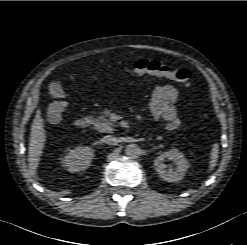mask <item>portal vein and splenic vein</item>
<instances>
[{
  "label": "portal vein and splenic vein",
  "instance_id": "portal-vein-and-splenic-vein-1",
  "mask_svg": "<svg viewBox=\"0 0 247 245\" xmlns=\"http://www.w3.org/2000/svg\"><path fill=\"white\" fill-rule=\"evenodd\" d=\"M111 118H112V120H113V121H117V120H118V116H117V115H115V114H114V115H112V117H111Z\"/></svg>",
  "mask_w": 247,
  "mask_h": 245
}]
</instances>
